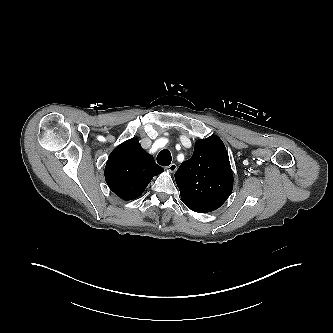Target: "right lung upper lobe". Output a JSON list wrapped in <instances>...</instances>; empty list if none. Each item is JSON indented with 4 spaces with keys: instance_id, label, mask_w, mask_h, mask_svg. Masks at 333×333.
Here are the masks:
<instances>
[{
    "instance_id": "1",
    "label": "right lung upper lobe",
    "mask_w": 333,
    "mask_h": 333,
    "mask_svg": "<svg viewBox=\"0 0 333 333\" xmlns=\"http://www.w3.org/2000/svg\"><path fill=\"white\" fill-rule=\"evenodd\" d=\"M164 169L157 165L136 138L117 146L109 155L105 179L109 188L123 200L139 197L154 176Z\"/></svg>"
}]
</instances>
